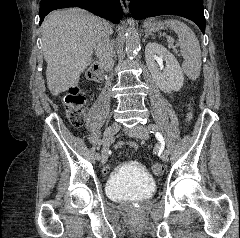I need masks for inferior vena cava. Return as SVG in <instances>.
<instances>
[{
	"mask_svg": "<svg viewBox=\"0 0 240 238\" xmlns=\"http://www.w3.org/2000/svg\"><path fill=\"white\" fill-rule=\"evenodd\" d=\"M109 27L99 23L93 35V46L101 67L105 71L112 70L114 66L113 46L109 39Z\"/></svg>",
	"mask_w": 240,
	"mask_h": 238,
	"instance_id": "1",
	"label": "inferior vena cava"
}]
</instances>
